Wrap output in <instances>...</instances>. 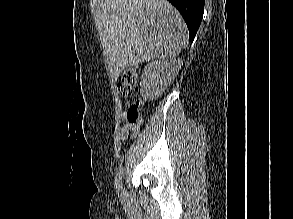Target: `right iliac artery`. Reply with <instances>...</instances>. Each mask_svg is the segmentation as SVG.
Here are the masks:
<instances>
[{
  "instance_id": "1",
  "label": "right iliac artery",
  "mask_w": 293,
  "mask_h": 219,
  "mask_svg": "<svg viewBox=\"0 0 293 219\" xmlns=\"http://www.w3.org/2000/svg\"><path fill=\"white\" fill-rule=\"evenodd\" d=\"M122 175H123V168H121L118 171V173L116 174V177H115V188L118 193H121V191H122V183H121Z\"/></svg>"
}]
</instances>
